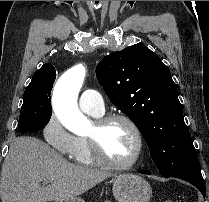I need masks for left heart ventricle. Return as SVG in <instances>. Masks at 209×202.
Listing matches in <instances>:
<instances>
[{"mask_svg":"<svg viewBox=\"0 0 209 202\" xmlns=\"http://www.w3.org/2000/svg\"><path fill=\"white\" fill-rule=\"evenodd\" d=\"M94 130V125L88 135ZM104 153L114 162H129L136 151V136L131 127L124 121L110 123L101 135Z\"/></svg>","mask_w":209,"mask_h":202,"instance_id":"b2bd125f","label":"left heart ventricle"}]
</instances>
